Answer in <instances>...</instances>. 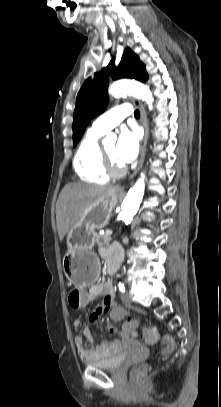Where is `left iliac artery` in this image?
Wrapping results in <instances>:
<instances>
[{
  "label": "left iliac artery",
  "mask_w": 221,
  "mask_h": 407,
  "mask_svg": "<svg viewBox=\"0 0 221 407\" xmlns=\"http://www.w3.org/2000/svg\"><path fill=\"white\" fill-rule=\"evenodd\" d=\"M118 286H119V290L124 293L126 290L124 284L120 282Z\"/></svg>",
  "instance_id": "44dca946"
}]
</instances>
